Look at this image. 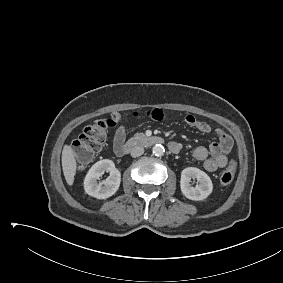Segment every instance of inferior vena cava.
Returning a JSON list of instances; mask_svg holds the SVG:
<instances>
[{"label":"inferior vena cava","instance_id":"602c4592","mask_svg":"<svg viewBox=\"0 0 283 283\" xmlns=\"http://www.w3.org/2000/svg\"><path fill=\"white\" fill-rule=\"evenodd\" d=\"M144 153V148L141 146H135L131 149V156L132 157H139Z\"/></svg>","mask_w":283,"mask_h":283}]
</instances>
